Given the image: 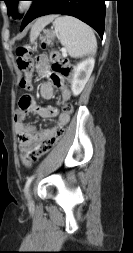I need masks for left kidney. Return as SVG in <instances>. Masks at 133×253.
<instances>
[{"label": "left kidney", "mask_w": 133, "mask_h": 253, "mask_svg": "<svg viewBox=\"0 0 133 253\" xmlns=\"http://www.w3.org/2000/svg\"><path fill=\"white\" fill-rule=\"evenodd\" d=\"M95 59L89 57L84 61L78 63L73 69V78L71 90L74 96L79 95L88 82L93 71Z\"/></svg>", "instance_id": "1"}]
</instances>
